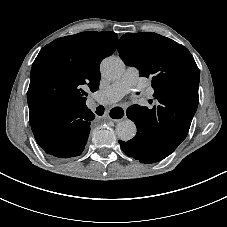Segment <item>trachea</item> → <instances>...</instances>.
Listing matches in <instances>:
<instances>
[{"instance_id": "3493384b", "label": "trachea", "mask_w": 227, "mask_h": 227, "mask_svg": "<svg viewBox=\"0 0 227 227\" xmlns=\"http://www.w3.org/2000/svg\"><path fill=\"white\" fill-rule=\"evenodd\" d=\"M104 111H105V108L102 105H100L97 107L96 113L101 116L103 115Z\"/></svg>"}]
</instances>
